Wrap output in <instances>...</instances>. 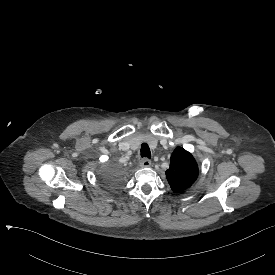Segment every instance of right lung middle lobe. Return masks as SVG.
I'll return each instance as SVG.
<instances>
[{
  "instance_id": "1",
  "label": "right lung middle lobe",
  "mask_w": 275,
  "mask_h": 275,
  "mask_svg": "<svg viewBox=\"0 0 275 275\" xmlns=\"http://www.w3.org/2000/svg\"><path fill=\"white\" fill-rule=\"evenodd\" d=\"M97 177L104 183L105 190L110 194H117L124 187L123 173L114 164L101 165L97 170Z\"/></svg>"
}]
</instances>
